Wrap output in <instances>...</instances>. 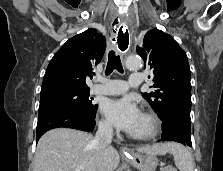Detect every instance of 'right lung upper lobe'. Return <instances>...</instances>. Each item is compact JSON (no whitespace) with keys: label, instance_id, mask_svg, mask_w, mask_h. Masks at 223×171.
Wrapping results in <instances>:
<instances>
[{"label":"right lung upper lobe","instance_id":"cb5924a9","mask_svg":"<svg viewBox=\"0 0 223 171\" xmlns=\"http://www.w3.org/2000/svg\"><path fill=\"white\" fill-rule=\"evenodd\" d=\"M105 48V38L93 29L70 38L50 61L40 98L61 92L90 90L86 77L93 74Z\"/></svg>","mask_w":223,"mask_h":171}]
</instances>
